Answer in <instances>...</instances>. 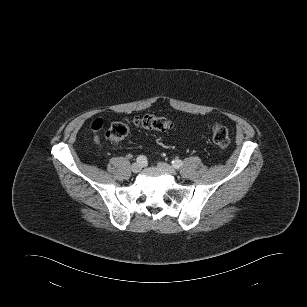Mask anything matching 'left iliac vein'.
Returning <instances> with one entry per match:
<instances>
[{
  "label": "left iliac vein",
  "instance_id": "left-iliac-vein-1",
  "mask_svg": "<svg viewBox=\"0 0 307 307\" xmlns=\"http://www.w3.org/2000/svg\"><path fill=\"white\" fill-rule=\"evenodd\" d=\"M158 167L171 175H176V170L167 163L159 162Z\"/></svg>",
  "mask_w": 307,
  "mask_h": 307
}]
</instances>
